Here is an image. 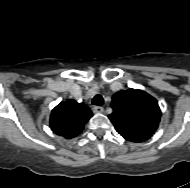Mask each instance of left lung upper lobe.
<instances>
[{"label":"left lung upper lobe","instance_id":"5c2ea615","mask_svg":"<svg viewBox=\"0 0 190 188\" xmlns=\"http://www.w3.org/2000/svg\"><path fill=\"white\" fill-rule=\"evenodd\" d=\"M108 117L116 130L152 136L159 126L161 111L157 100L142 90L128 89L114 94Z\"/></svg>","mask_w":190,"mask_h":188}]
</instances>
